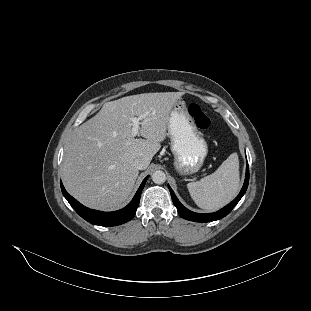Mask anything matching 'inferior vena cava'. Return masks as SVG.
Segmentation results:
<instances>
[{
    "instance_id": "602c4592",
    "label": "inferior vena cava",
    "mask_w": 311,
    "mask_h": 311,
    "mask_svg": "<svg viewBox=\"0 0 311 311\" xmlns=\"http://www.w3.org/2000/svg\"><path fill=\"white\" fill-rule=\"evenodd\" d=\"M132 165L137 169L142 170L145 166V163L141 158H137L132 162Z\"/></svg>"
}]
</instances>
